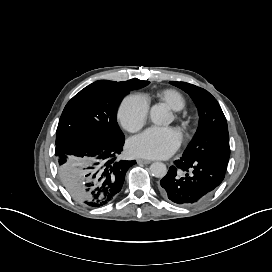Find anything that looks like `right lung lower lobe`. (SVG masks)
<instances>
[{"label": "right lung lower lobe", "mask_w": 272, "mask_h": 272, "mask_svg": "<svg viewBox=\"0 0 272 272\" xmlns=\"http://www.w3.org/2000/svg\"><path fill=\"white\" fill-rule=\"evenodd\" d=\"M124 140L107 143L92 137H75L56 146L55 155L68 192L84 205L101 207L122 189L127 170L136 161L116 160Z\"/></svg>", "instance_id": "1"}]
</instances>
